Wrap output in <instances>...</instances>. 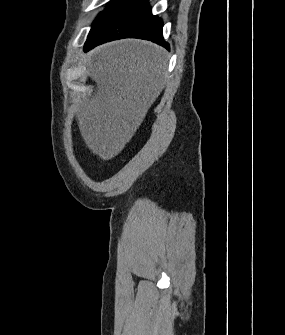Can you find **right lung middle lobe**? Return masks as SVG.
Wrapping results in <instances>:
<instances>
[{
  "instance_id": "obj_1",
  "label": "right lung middle lobe",
  "mask_w": 285,
  "mask_h": 335,
  "mask_svg": "<svg viewBox=\"0 0 285 335\" xmlns=\"http://www.w3.org/2000/svg\"><path fill=\"white\" fill-rule=\"evenodd\" d=\"M123 0H111L107 8L102 11L92 24V28L107 17Z\"/></svg>"
}]
</instances>
